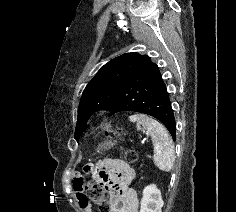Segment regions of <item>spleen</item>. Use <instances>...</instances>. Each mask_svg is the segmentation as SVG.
Returning <instances> with one entry per match:
<instances>
[{
    "label": "spleen",
    "instance_id": "3e777b00",
    "mask_svg": "<svg viewBox=\"0 0 236 212\" xmlns=\"http://www.w3.org/2000/svg\"><path fill=\"white\" fill-rule=\"evenodd\" d=\"M131 122H136L138 130L146 131L154 146V163L162 171L169 172L174 163V145L166 128L157 120L144 114L129 116Z\"/></svg>",
    "mask_w": 236,
    "mask_h": 212
}]
</instances>
